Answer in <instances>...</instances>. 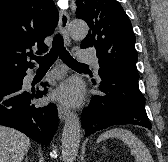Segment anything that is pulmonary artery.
Segmentation results:
<instances>
[{
	"label": "pulmonary artery",
	"instance_id": "e3ab8cb5",
	"mask_svg": "<svg viewBox=\"0 0 168 162\" xmlns=\"http://www.w3.org/2000/svg\"><path fill=\"white\" fill-rule=\"evenodd\" d=\"M79 60L82 62L91 63L96 69L99 68L98 60L91 54L86 53L85 51L79 52Z\"/></svg>",
	"mask_w": 168,
	"mask_h": 162
}]
</instances>
